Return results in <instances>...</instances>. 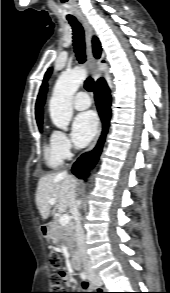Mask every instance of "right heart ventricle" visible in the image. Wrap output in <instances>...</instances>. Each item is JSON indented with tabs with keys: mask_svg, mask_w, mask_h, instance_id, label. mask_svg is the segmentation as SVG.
Instances as JSON below:
<instances>
[{
	"mask_svg": "<svg viewBox=\"0 0 170 293\" xmlns=\"http://www.w3.org/2000/svg\"><path fill=\"white\" fill-rule=\"evenodd\" d=\"M44 161L50 169H57L62 164V158L55 152L51 138L44 146Z\"/></svg>",
	"mask_w": 170,
	"mask_h": 293,
	"instance_id": "e07e8e85",
	"label": "right heart ventricle"
}]
</instances>
